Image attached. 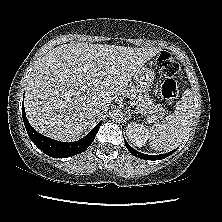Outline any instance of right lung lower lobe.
Here are the masks:
<instances>
[{
	"label": "right lung lower lobe",
	"instance_id": "right-lung-lower-lobe-1",
	"mask_svg": "<svg viewBox=\"0 0 222 222\" xmlns=\"http://www.w3.org/2000/svg\"><path fill=\"white\" fill-rule=\"evenodd\" d=\"M22 117L27 133L33 143L45 154L54 158H66L86 150L94 140L98 129L101 126L100 122L82 139L66 143L50 139L38 133L28 122L24 106H22Z\"/></svg>",
	"mask_w": 222,
	"mask_h": 222
}]
</instances>
